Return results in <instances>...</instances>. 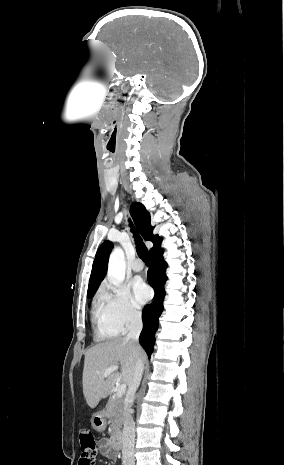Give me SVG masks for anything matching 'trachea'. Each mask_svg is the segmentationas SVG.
<instances>
[{
  "mask_svg": "<svg viewBox=\"0 0 284 465\" xmlns=\"http://www.w3.org/2000/svg\"><path fill=\"white\" fill-rule=\"evenodd\" d=\"M130 227L131 231L134 236L135 244H136V249L138 256L143 260V262L148 265L149 260H148V251L147 248L145 247V244L143 243V240L139 236V234L136 232L135 227L133 226L132 222H130Z\"/></svg>",
  "mask_w": 284,
  "mask_h": 465,
  "instance_id": "3493384b",
  "label": "trachea"
}]
</instances>
